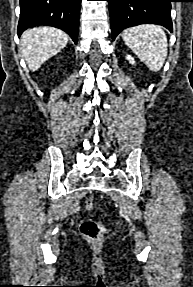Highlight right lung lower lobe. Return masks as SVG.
<instances>
[{"label":"right lung lower lobe","mask_w":193,"mask_h":287,"mask_svg":"<svg viewBox=\"0 0 193 287\" xmlns=\"http://www.w3.org/2000/svg\"><path fill=\"white\" fill-rule=\"evenodd\" d=\"M81 0H20L18 36L39 25L62 29L77 43Z\"/></svg>","instance_id":"obj_1"}]
</instances>
